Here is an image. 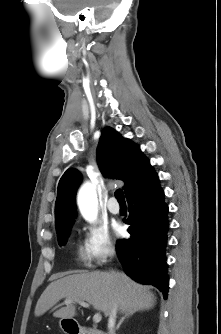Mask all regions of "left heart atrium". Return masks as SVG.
<instances>
[{
  "instance_id": "obj_1",
  "label": "left heart atrium",
  "mask_w": 221,
  "mask_h": 334,
  "mask_svg": "<svg viewBox=\"0 0 221 334\" xmlns=\"http://www.w3.org/2000/svg\"><path fill=\"white\" fill-rule=\"evenodd\" d=\"M114 232H115L116 235L120 236L123 232V229L120 225H117V226L114 227Z\"/></svg>"
}]
</instances>
